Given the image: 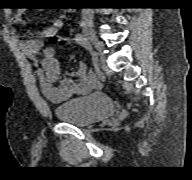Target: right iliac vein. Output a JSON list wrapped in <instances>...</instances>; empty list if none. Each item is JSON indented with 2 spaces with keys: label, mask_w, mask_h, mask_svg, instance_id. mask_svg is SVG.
<instances>
[{
  "label": "right iliac vein",
  "mask_w": 192,
  "mask_h": 180,
  "mask_svg": "<svg viewBox=\"0 0 192 180\" xmlns=\"http://www.w3.org/2000/svg\"><path fill=\"white\" fill-rule=\"evenodd\" d=\"M81 26H82V30H83L84 34L87 36L89 41L92 43V45L96 49L95 54L97 56H99L101 54V46H100V42L96 36V32L93 28L92 23L88 22V21H84V22H82Z\"/></svg>",
  "instance_id": "1"
}]
</instances>
